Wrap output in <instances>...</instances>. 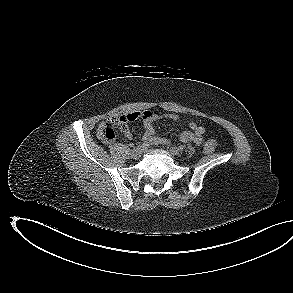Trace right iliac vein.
I'll return each mask as SVG.
<instances>
[{
	"mask_svg": "<svg viewBox=\"0 0 293 293\" xmlns=\"http://www.w3.org/2000/svg\"><path fill=\"white\" fill-rule=\"evenodd\" d=\"M142 152H143V149L141 147H136L132 150L131 157L133 159H138L141 156Z\"/></svg>",
	"mask_w": 293,
	"mask_h": 293,
	"instance_id": "right-iliac-vein-1",
	"label": "right iliac vein"
}]
</instances>
